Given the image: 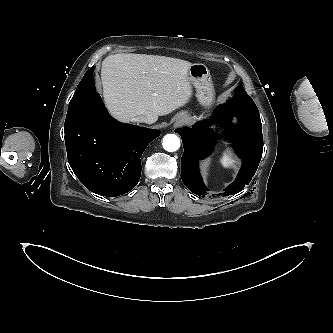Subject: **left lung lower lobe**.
I'll return each instance as SVG.
<instances>
[{"label":"left lung lower lobe","instance_id":"1","mask_svg":"<svg viewBox=\"0 0 333 333\" xmlns=\"http://www.w3.org/2000/svg\"><path fill=\"white\" fill-rule=\"evenodd\" d=\"M234 114L239 118V127L230 124L228 134L235 143L243 164L235 181L224 190V195L236 194L250 183L263 152L262 124L255 103L234 96L217 109V115L226 122H229ZM175 131L181 135L184 146L181 159L182 181L191 192L205 196L208 189L200 176L198 160L209 154L212 142L206 138L204 124Z\"/></svg>","mask_w":333,"mask_h":333}]
</instances>
